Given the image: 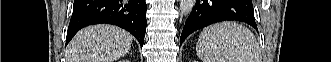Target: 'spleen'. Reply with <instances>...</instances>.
Instances as JSON below:
<instances>
[{
  "label": "spleen",
  "mask_w": 331,
  "mask_h": 62,
  "mask_svg": "<svg viewBox=\"0 0 331 62\" xmlns=\"http://www.w3.org/2000/svg\"><path fill=\"white\" fill-rule=\"evenodd\" d=\"M196 53L202 62H258L259 45L244 26L222 22L200 33Z\"/></svg>",
  "instance_id": "spleen-1"
}]
</instances>
